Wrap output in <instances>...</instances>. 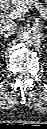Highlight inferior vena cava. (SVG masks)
<instances>
[{"label": "inferior vena cava", "mask_w": 47, "mask_h": 129, "mask_svg": "<svg viewBox=\"0 0 47 129\" xmlns=\"http://www.w3.org/2000/svg\"><path fill=\"white\" fill-rule=\"evenodd\" d=\"M16 23L10 19L7 20H1L0 23V31L1 32H7L8 34H11L16 29Z\"/></svg>", "instance_id": "inferior-vena-cava-1"}]
</instances>
